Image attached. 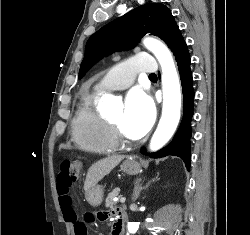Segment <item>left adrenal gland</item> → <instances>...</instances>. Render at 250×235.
<instances>
[{"label": "left adrenal gland", "mask_w": 250, "mask_h": 235, "mask_svg": "<svg viewBox=\"0 0 250 235\" xmlns=\"http://www.w3.org/2000/svg\"><path fill=\"white\" fill-rule=\"evenodd\" d=\"M140 182H141V180H139V181H137V182L135 183L134 191H133V196H132V201H133V202H135V201L139 198L140 193H141L143 190H145V189L149 186V184H150V182H149V183H147L145 186H142V185L140 184Z\"/></svg>", "instance_id": "1"}]
</instances>
